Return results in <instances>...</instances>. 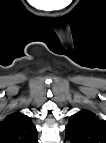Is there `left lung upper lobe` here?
Masks as SVG:
<instances>
[{"instance_id": "5c2ea615", "label": "left lung upper lobe", "mask_w": 106, "mask_h": 143, "mask_svg": "<svg viewBox=\"0 0 106 143\" xmlns=\"http://www.w3.org/2000/svg\"><path fill=\"white\" fill-rule=\"evenodd\" d=\"M65 132L73 143H106V122L88 110L73 114Z\"/></svg>"}]
</instances>
